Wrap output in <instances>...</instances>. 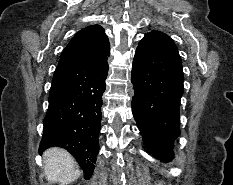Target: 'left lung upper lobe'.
<instances>
[{
    "mask_svg": "<svg viewBox=\"0 0 233 185\" xmlns=\"http://www.w3.org/2000/svg\"><path fill=\"white\" fill-rule=\"evenodd\" d=\"M145 37H149L151 39H154L158 42H160L161 44L175 50V51H178L175 43L173 42V40L168 36L166 35L165 33L163 32H160V31H152L150 33H147L145 35Z\"/></svg>",
    "mask_w": 233,
    "mask_h": 185,
    "instance_id": "1",
    "label": "left lung upper lobe"
}]
</instances>
